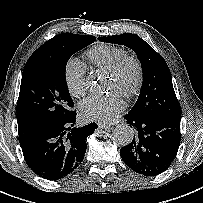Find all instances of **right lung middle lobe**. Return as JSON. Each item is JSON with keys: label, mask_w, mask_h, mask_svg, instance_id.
<instances>
[{"label": "right lung middle lobe", "mask_w": 203, "mask_h": 203, "mask_svg": "<svg viewBox=\"0 0 203 203\" xmlns=\"http://www.w3.org/2000/svg\"><path fill=\"white\" fill-rule=\"evenodd\" d=\"M95 40L91 35H75L52 52L28 59L16 108L24 127L32 130L71 114L73 101L65 79L66 63Z\"/></svg>", "instance_id": "1"}]
</instances>
